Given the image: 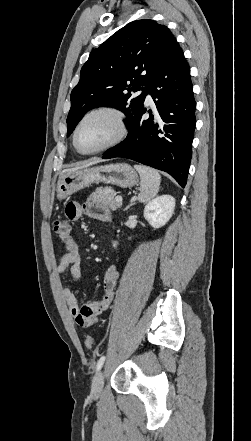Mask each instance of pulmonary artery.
<instances>
[{
	"label": "pulmonary artery",
	"mask_w": 251,
	"mask_h": 441,
	"mask_svg": "<svg viewBox=\"0 0 251 441\" xmlns=\"http://www.w3.org/2000/svg\"><path fill=\"white\" fill-rule=\"evenodd\" d=\"M146 101H147L148 103H151V102H152V98H151V95H150V94H147V96H146Z\"/></svg>",
	"instance_id": "pulmonary-artery-1"
}]
</instances>
